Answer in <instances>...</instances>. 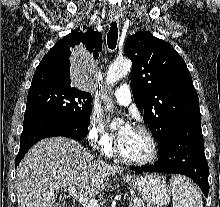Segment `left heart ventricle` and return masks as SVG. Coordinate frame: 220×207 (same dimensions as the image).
<instances>
[{
  "label": "left heart ventricle",
  "instance_id": "obj_1",
  "mask_svg": "<svg viewBox=\"0 0 220 207\" xmlns=\"http://www.w3.org/2000/svg\"><path fill=\"white\" fill-rule=\"evenodd\" d=\"M118 142L122 153L130 159L141 160L150 155L149 139L143 132L135 128L128 134L119 137Z\"/></svg>",
  "mask_w": 220,
  "mask_h": 207
}]
</instances>
